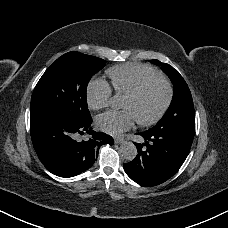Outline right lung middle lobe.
Returning a JSON list of instances; mask_svg holds the SVG:
<instances>
[{
  "label": "right lung middle lobe",
  "mask_w": 228,
  "mask_h": 228,
  "mask_svg": "<svg viewBox=\"0 0 228 228\" xmlns=\"http://www.w3.org/2000/svg\"><path fill=\"white\" fill-rule=\"evenodd\" d=\"M104 66L103 59L79 52L59 57L34 88L30 119L56 117L72 123L91 119L86 99L87 85Z\"/></svg>",
  "instance_id": "obj_1"
}]
</instances>
